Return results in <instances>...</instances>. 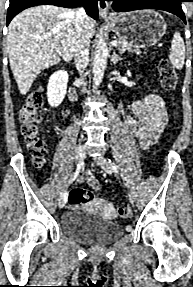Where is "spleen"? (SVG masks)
I'll return each mask as SVG.
<instances>
[{"instance_id": "3e777b00", "label": "spleen", "mask_w": 193, "mask_h": 287, "mask_svg": "<svg viewBox=\"0 0 193 287\" xmlns=\"http://www.w3.org/2000/svg\"><path fill=\"white\" fill-rule=\"evenodd\" d=\"M171 64L177 69H182L185 61V45L179 32H175L168 55Z\"/></svg>"}]
</instances>
